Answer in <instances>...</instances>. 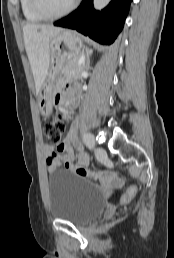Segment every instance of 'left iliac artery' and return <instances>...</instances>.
Listing matches in <instances>:
<instances>
[{"mask_svg":"<svg viewBox=\"0 0 174 258\" xmlns=\"http://www.w3.org/2000/svg\"><path fill=\"white\" fill-rule=\"evenodd\" d=\"M83 141L89 149H93V147L95 146L94 136L91 133H85L83 135Z\"/></svg>","mask_w":174,"mask_h":258,"instance_id":"1","label":"left iliac artery"}]
</instances>
